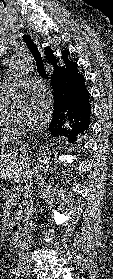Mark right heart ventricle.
<instances>
[{
    "label": "right heart ventricle",
    "mask_w": 113,
    "mask_h": 279,
    "mask_svg": "<svg viewBox=\"0 0 113 279\" xmlns=\"http://www.w3.org/2000/svg\"><path fill=\"white\" fill-rule=\"evenodd\" d=\"M6 93L0 90V147L11 144L15 136V125L4 113Z\"/></svg>",
    "instance_id": "obj_1"
}]
</instances>
